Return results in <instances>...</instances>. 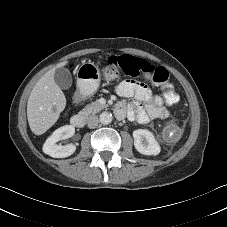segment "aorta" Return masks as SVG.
I'll use <instances>...</instances> for the list:
<instances>
[{
  "label": "aorta",
  "instance_id": "aorta-1",
  "mask_svg": "<svg viewBox=\"0 0 227 227\" xmlns=\"http://www.w3.org/2000/svg\"><path fill=\"white\" fill-rule=\"evenodd\" d=\"M99 120L102 124L108 125L112 121V114L109 112H102L100 114Z\"/></svg>",
  "mask_w": 227,
  "mask_h": 227
}]
</instances>
